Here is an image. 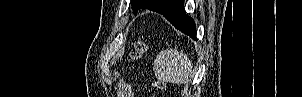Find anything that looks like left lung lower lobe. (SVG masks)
<instances>
[{"instance_id": "left-lung-lower-lobe-1", "label": "left lung lower lobe", "mask_w": 302, "mask_h": 97, "mask_svg": "<svg viewBox=\"0 0 302 97\" xmlns=\"http://www.w3.org/2000/svg\"><path fill=\"white\" fill-rule=\"evenodd\" d=\"M183 6L184 0H148L142 9L162 14L177 29L196 40L195 23L185 14Z\"/></svg>"}]
</instances>
